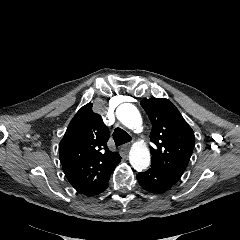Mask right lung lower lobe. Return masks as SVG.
Returning <instances> with one entry per match:
<instances>
[{
    "instance_id": "98d812e1",
    "label": "right lung lower lobe",
    "mask_w": 240,
    "mask_h": 240,
    "mask_svg": "<svg viewBox=\"0 0 240 240\" xmlns=\"http://www.w3.org/2000/svg\"><path fill=\"white\" fill-rule=\"evenodd\" d=\"M108 180L96 191L94 195L102 193L108 187Z\"/></svg>"
}]
</instances>
